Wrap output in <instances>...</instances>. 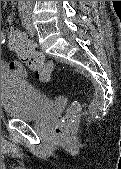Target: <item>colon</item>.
<instances>
[{"label": "colon", "mask_w": 121, "mask_h": 169, "mask_svg": "<svg viewBox=\"0 0 121 169\" xmlns=\"http://www.w3.org/2000/svg\"><path fill=\"white\" fill-rule=\"evenodd\" d=\"M8 47L17 56L20 63L26 65L34 71L37 78L41 81H48L51 77L53 64L46 61L41 53L37 52L33 44L20 32L10 30L8 33ZM74 107L70 109V113ZM71 129L69 121L59 122L54 129L56 138L65 140L68 138Z\"/></svg>", "instance_id": "1"}]
</instances>
